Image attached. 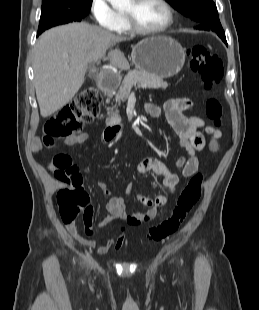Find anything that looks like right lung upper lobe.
Returning <instances> with one entry per match:
<instances>
[{
	"mask_svg": "<svg viewBox=\"0 0 259 310\" xmlns=\"http://www.w3.org/2000/svg\"><path fill=\"white\" fill-rule=\"evenodd\" d=\"M42 1H50V0H42Z\"/></svg>",
	"mask_w": 259,
	"mask_h": 310,
	"instance_id": "cb5924a9",
	"label": "right lung upper lobe"
}]
</instances>
